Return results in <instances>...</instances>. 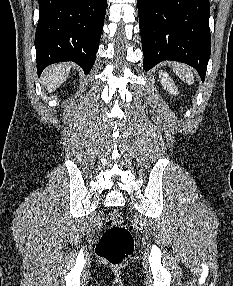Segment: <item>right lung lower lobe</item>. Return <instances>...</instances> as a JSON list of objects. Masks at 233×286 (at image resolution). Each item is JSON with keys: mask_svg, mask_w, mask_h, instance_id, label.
<instances>
[{"mask_svg": "<svg viewBox=\"0 0 233 286\" xmlns=\"http://www.w3.org/2000/svg\"><path fill=\"white\" fill-rule=\"evenodd\" d=\"M107 0H39L35 35L38 75L56 62L73 61L89 73L96 59Z\"/></svg>", "mask_w": 233, "mask_h": 286, "instance_id": "98d812e1", "label": "right lung lower lobe"}]
</instances>
